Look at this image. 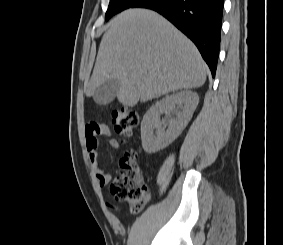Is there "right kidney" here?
I'll list each match as a JSON object with an SVG mask.
<instances>
[{"mask_svg": "<svg viewBox=\"0 0 283 245\" xmlns=\"http://www.w3.org/2000/svg\"><path fill=\"white\" fill-rule=\"evenodd\" d=\"M198 102L197 93L186 90L167 95L152 105L141 122L144 151L149 154L155 153L172 143L189 123ZM164 112L167 114L174 112L176 117L161 120L160 116Z\"/></svg>", "mask_w": 283, "mask_h": 245, "instance_id": "ca27d5eb", "label": "right kidney"}]
</instances>
